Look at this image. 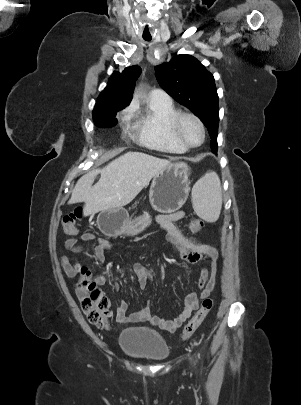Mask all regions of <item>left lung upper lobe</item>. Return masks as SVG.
<instances>
[{
  "label": "left lung upper lobe",
  "mask_w": 301,
  "mask_h": 405,
  "mask_svg": "<svg viewBox=\"0 0 301 405\" xmlns=\"http://www.w3.org/2000/svg\"><path fill=\"white\" fill-rule=\"evenodd\" d=\"M155 71L160 86L204 123L214 153L218 148L219 106L213 75L190 55H177L169 62L156 66Z\"/></svg>",
  "instance_id": "left-lung-upper-lobe-1"
}]
</instances>
